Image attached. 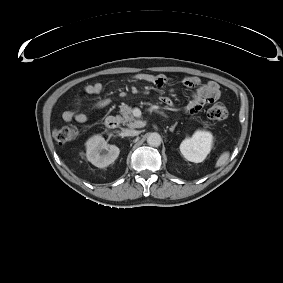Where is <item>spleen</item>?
<instances>
[{
    "label": "spleen",
    "mask_w": 283,
    "mask_h": 283,
    "mask_svg": "<svg viewBox=\"0 0 283 283\" xmlns=\"http://www.w3.org/2000/svg\"><path fill=\"white\" fill-rule=\"evenodd\" d=\"M229 156H230V153H229L228 151L223 152V153L219 156V158H218V160H217V162H216L215 167H221V166H223V165L227 162V160L229 159Z\"/></svg>",
    "instance_id": "3e777b00"
}]
</instances>
